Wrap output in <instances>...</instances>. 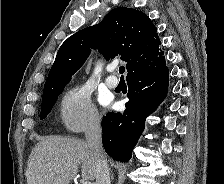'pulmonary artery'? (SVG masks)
Segmentation results:
<instances>
[{"mask_svg":"<svg viewBox=\"0 0 224 184\" xmlns=\"http://www.w3.org/2000/svg\"><path fill=\"white\" fill-rule=\"evenodd\" d=\"M114 69H115L114 66H109V68H108L109 72H113ZM105 83H106L107 87L115 88V87H117L119 81L115 76L110 75V76L106 77Z\"/></svg>","mask_w":224,"mask_h":184,"instance_id":"obj_1","label":"pulmonary artery"}]
</instances>
